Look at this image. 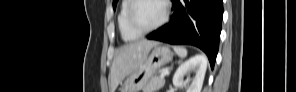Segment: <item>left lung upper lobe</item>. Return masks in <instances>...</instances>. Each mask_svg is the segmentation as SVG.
Returning <instances> with one entry per match:
<instances>
[{
	"instance_id": "1",
	"label": "left lung upper lobe",
	"mask_w": 296,
	"mask_h": 92,
	"mask_svg": "<svg viewBox=\"0 0 296 92\" xmlns=\"http://www.w3.org/2000/svg\"><path fill=\"white\" fill-rule=\"evenodd\" d=\"M117 2H118V0H113V8H114V10H115V8H116V4H117Z\"/></svg>"
}]
</instances>
